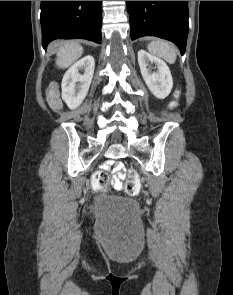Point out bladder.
I'll return each instance as SVG.
<instances>
[{"label": "bladder", "mask_w": 233, "mask_h": 295, "mask_svg": "<svg viewBox=\"0 0 233 295\" xmlns=\"http://www.w3.org/2000/svg\"><path fill=\"white\" fill-rule=\"evenodd\" d=\"M94 208L104 221L136 220V205L127 198L101 193L95 198Z\"/></svg>", "instance_id": "1"}]
</instances>
